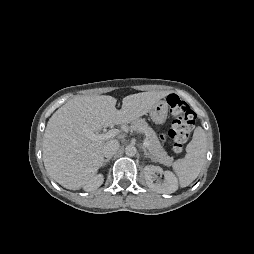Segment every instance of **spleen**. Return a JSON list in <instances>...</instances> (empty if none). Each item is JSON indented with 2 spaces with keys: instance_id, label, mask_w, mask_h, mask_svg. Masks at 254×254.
I'll list each match as a JSON object with an SVG mask.
<instances>
[{
  "instance_id": "1",
  "label": "spleen",
  "mask_w": 254,
  "mask_h": 254,
  "mask_svg": "<svg viewBox=\"0 0 254 254\" xmlns=\"http://www.w3.org/2000/svg\"><path fill=\"white\" fill-rule=\"evenodd\" d=\"M207 136L201 127H196L193 138L186 147V155L173 163L181 187L190 185L199 175L206 158Z\"/></svg>"
}]
</instances>
